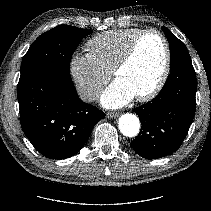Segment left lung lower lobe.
Returning <instances> with one entry per match:
<instances>
[{
  "mask_svg": "<svg viewBox=\"0 0 211 211\" xmlns=\"http://www.w3.org/2000/svg\"><path fill=\"white\" fill-rule=\"evenodd\" d=\"M170 68L160 93L152 101L134 108L141 121V131L130 146L146 159L177 151L195 115L197 80L191 60H182Z\"/></svg>",
  "mask_w": 211,
  "mask_h": 211,
  "instance_id": "0a47b994",
  "label": "left lung lower lobe"
}]
</instances>
